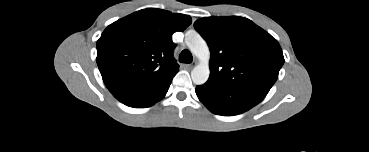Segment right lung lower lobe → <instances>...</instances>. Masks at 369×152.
<instances>
[{"label": "right lung lower lobe", "mask_w": 369, "mask_h": 152, "mask_svg": "<svg viewBox=\"0 0 369 152\" xmlns=\"http://www.w3.org/2000/svg\"><path fill=\"white\" fill-rule=\"evenodd\" d=\"M172 81V80H171ZM171 81H169L161 90L154 92L152 94L146 95L144 97H141L137 100L130 101L127 103H124L127 106L134 107V108H146L150 107L156 102L160 101L167 93L168 88L171 84Z\"/></svg>", "instance_id": "right-lung-lower-lobe-1"}]
</instances>
